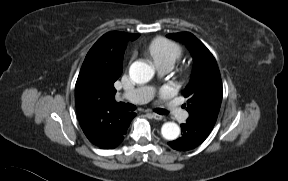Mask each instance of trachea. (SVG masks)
Segmentation results:
<instances>
[{
	"instance_id": "trachea-1",
	"label": "trachea",
	"mask_w": 288,
	"mask_h": 181,
	"mask_svg": "<svg viewBox=\"0 0 288 181\" xmlns=\"http://www.w3.org/2000/svg\"><path fill=\"white\" fill-rule=\"evenodd\" d=\"M119 107H121L122 109L128 110V111H133L136 109V106L130 103H124V102H120L117 104ZM156 113L161 114V115H165L168 114L169 112L166 111L165 109H161V108H157L154 110Z\"/></svg>"
}]
</instances>
